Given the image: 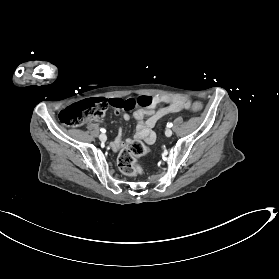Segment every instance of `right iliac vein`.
I'll return each mask as SVG.
<instances>
[{"label": "right iliac vein", "instance_id": "63e3f726", "mask_svg": "<svg viewBox=\"0 0 279 279\" xmlns=\"http://www.w3.org/2000/svg\"><path fill=\"white\" fill-rule=\"evenodd\" d=\"M99 139L100 141L105 142L107 140V136L105 134H100Z\"/></svg>", "mask_w": 279, "mask_h": 279}]
</instances>
